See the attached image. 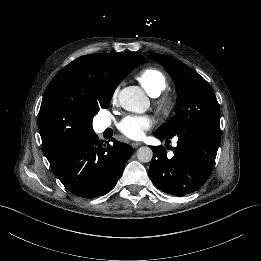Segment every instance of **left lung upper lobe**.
Returning <instances> with one entry per match:
<instances>
[{
    "label": "left lung upper lobe",
    "instance_id": "5c2ea615",
    "mask_svg": "<svg viewBox=\"0 0 261 261\" xmlns=\"http://www.w3.org/2000/svg\"><path fill=\"white\" fill-rule=\"evenodd\" d=\"M148 58L161 64L172 77L177 91V114L155 133L164 138L206 127L220 132V108L209 83L193 69L174 57L151 54Z\"/></svg>",
    "mask_w": 261,
    "mask_h": 261
}]
</instances>
